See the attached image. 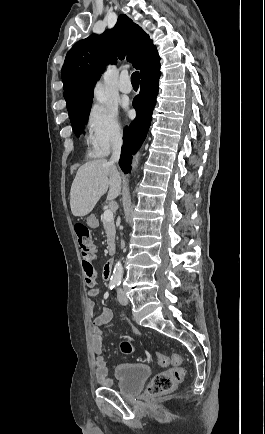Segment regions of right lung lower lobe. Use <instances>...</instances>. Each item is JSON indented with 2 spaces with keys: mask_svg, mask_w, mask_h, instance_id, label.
<instances>
[{
  "mask_svg": "<svg viewBox=\"0 0 265 434\" xmlns=\"http://www.w3.org/2000/svg\"><path fill=\"white\" fill-rule=\"evenodd\" d=\"M159 60V56L155 55L146 60L140 68V94L133 100V107L136 109L137 115L129 127L126 128L124 145L119 160V165L125 174L130 172L132 154L142 144L150 127L151 115L158 94V80L161 74Z\"/></svg>",
  "mask_w": 265,
  "mask_h": 434,
  "instance_id": "right-lung-lower-lobe-1",
  "label": "right lung lower lobe"
}]
</instances>
